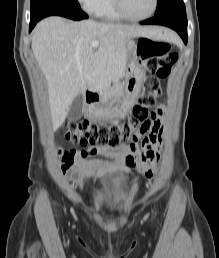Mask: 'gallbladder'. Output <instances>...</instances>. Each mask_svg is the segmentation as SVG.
<instances>
[{
  "mask_svg": "<svg viewBox=\"0 0 219 258\" xmlns=\"http://www.w3.org/2000/svg\"><path fill=\"white\" fill-rule=\"evenodd\" d=\"M83 108H84V104H83L82 96L78 95L75 97V99L73 100L70 106V110L67 115L68 119L71 121L79 120L83 115Z\"/></svg>",
  "mask_w": 219,
  "mask_h": 258,
  "instance_id": "bac80fb5",
  "label": "gallbladder"
}]
</instances>
